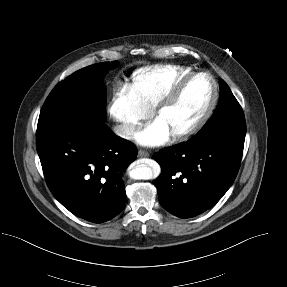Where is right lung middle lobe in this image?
I'll use <instances>...</instances> for the list:
<instances>
[{"label": "right lung middle lobe", "mask_w": 287, "mask_h": 287, "mask_svg": "<svg viewBox=\"0 0 287 287\" xmlns=\"http://www.w3.org/2000/svg\"><path fill=\"white\" fill-rule=\"evenodd\" d=\"M118 61L103 62L80 69L60 82L47 97L37 131L48 130L74 120L106 121V89L102 78Z\"/></svg>", "instance_id": "obj_1"}]
</instances>
